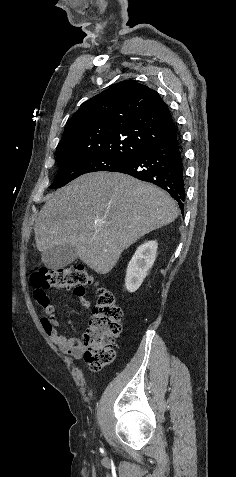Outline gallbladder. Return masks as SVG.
I'll return each mask as SVG.
<instances>
[{"instance_id": "bac80fb5", "label": "gallbladder", "mask_w": 236, "mask_h": 477, "mask_svg": "<svg viewBox=\"0 0 236 477\" xmlns=\"http://www.w3.org/2000/svg\"><path fill=\"white\" fill-rule=\"evenodd\" d=\"M76 258V249L69 244L54 247L42 253L43 263L53 270L68 266Z\"/></svg>"}]
</instances>
